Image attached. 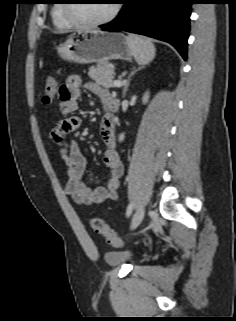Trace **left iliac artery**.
<instances>
[{
  "label": "left iliac artery",
  "instance_id": "44dca946",
  "mask_svg": "<svg viewBox=\"0 0 236 321\" xmlns=\"http://www.w3.org/2000/svg\"><path fill=\"white\" fill-rule=\"evenodd\" d=\"M132 210H133V205H132V204H130V205L128 206V208H127L126 215H127V216H130V215H131V213H132Z\"/></svg>",
  "mask_w": 236,
  "mask_h": 321
}]
</instances>
